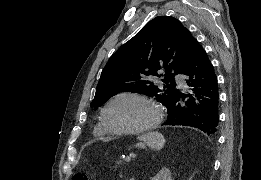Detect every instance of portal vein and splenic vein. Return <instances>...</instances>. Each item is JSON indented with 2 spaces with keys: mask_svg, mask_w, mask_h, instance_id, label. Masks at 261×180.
Here are the masks:
<instances>
[{
  "mask_svg": "<svg viewBox=\"0 0 261 180\" xmlns=\"http://www.w3.org/2000/svg\"><path fill=\"white\" fill-rule=\"evenodd\" d=\"M132 155H136V154H129L128 158H124V163H132L133 160L131 159Z\"/></svg>",
  "mask_w": 261,
  "mask_h": 180,
  "instance_id": "obj_1",
  "label": "portal vein and splenic vein"
}]
</instances>
